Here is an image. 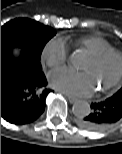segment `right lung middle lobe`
<instances>
[{
    "label": "right lung middle lobe",
    "instance_id": "right-lung-middle-lobe-1",
    "mask_svg": "<svg viewBox=\"0 0 122 154\" xmlns=\"http://www.w3.org/2000/svg\"><path fill=\"white\" fill-rule=\"evenodd\" d=\"M55 35L53 28L31 19H14L1 27V50L21 48L36 68L42 70L40 59L45 44Z\"/></svg>",
    "mask_w": 122,
    "mask_h": 154
}]
</instances>
